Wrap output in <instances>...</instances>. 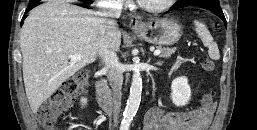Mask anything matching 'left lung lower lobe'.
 <instances>
[{
    "label": "left lung lower lobe",
    "instance_id": "obj_1",
    "mask_svg": "<svg viewBox=\"0 0 257 130\" xmlns=\"http://www.w3.org/2000/svg\"><path fill=\"white\" fill-rule=\"evenodd\" d=\"M199 4L205 5L204 8L214 12L217 16H219L225 23L226 19L225 16L222 12V9L220 7L219 1L218 0H201ZM182 7L181 5H174L169 11L176 10L178 8Z\"/></svg>",
    "mask_w": 257,
    "mask_h": 130
}]
</instances>
